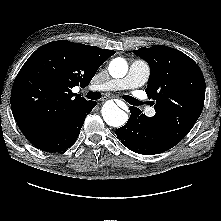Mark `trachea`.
Returning a JSON list of instances; mask_svg holds the SVG:
<instances>
[{
    "label": "trachea",
    "instance_id": "obj_1",
    "mask_svg": "<svg viewBox=\"0 0 221 221\" xmlns=\"http://www.w3.org/2000/svg\"><path fill=\"white\" fill-rule=\"evenodd\" d=\"M86 97L90 100H97V99L101 98V93L100 92H88ZM123 98H124V100H126L131 105H137L138 106V105L143 104V102L141 103L140 101L133 98L132 96L125 95V96H123Z\"/></svg>",
    "mask_w": 221,
    "mask_h": 221
}]
</instances>
